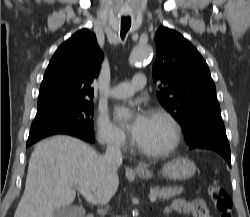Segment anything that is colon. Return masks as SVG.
Returning <instances> with one entry per match:
<instances>
[{
  "label": "colon",
  "instance_id": "5ec220e1",
  "mask_svg": "<svg viewBox=\"0 0 250 217\" xmlns=\"http://www.w3.org/2000/svg\"><path fill=\"white\" fill-rule=\"evenodd\" d=\"M208 194L219 217H233L232 200L227 191L216 183L208 187Z\"/></svg>",
  "mask_w": 250,
  "mask_h": 217
}]
</instances>
